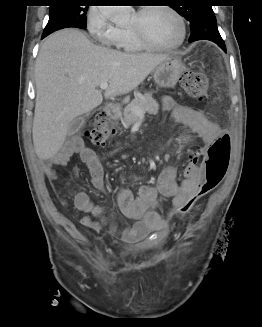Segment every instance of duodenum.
<instances>
[{
  "mask_svg": "<svg viewBox=\"0 0 262 327\" xmlns=\"http://www.w3.org/2000/svg\"><path fill=\"white\" fill-rule=\"evenodd\" d=\"M103 111L111 118L117 117L119 114V107L114 104H108L103 108Z\"/></svg>",
  "mask_w": 262,
  "mask_h": 327,
  "instance_id": "obj_1",
  "label": "duodenum"
}]
</instances>
